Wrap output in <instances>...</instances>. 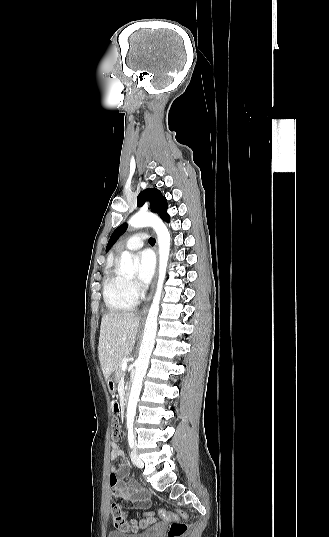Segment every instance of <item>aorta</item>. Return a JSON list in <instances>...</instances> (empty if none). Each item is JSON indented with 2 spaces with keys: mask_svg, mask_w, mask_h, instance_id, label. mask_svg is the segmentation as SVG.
<instances>
[{
  "mask_svg": "<svg viewBox=\"0 0 329 537\" xmlns=\"http://www.w3.org/2000/svg\"><path fill=\"white\" fill-rule=\"evenodd\" d=\"M129 225L132 228H141L146 226L153 227L157 233L159 245V277L157 288L147 315L139 356L135 362V374L127 406V426L132 428L136 414V406L142 388V381L146 374L149 359L154 348L157 332L159 303L166 275L171 237L163 221L151 213H136L130 218ZM136 263V259H133L129 252L124 251L121 254L120 271L123 273H133L136 269Z\"/></svg>",
  "mask_w": 329,
  "mask_h": 537,
  "instance_id": "1",
  "label": "aorta"
}]
</instances>
